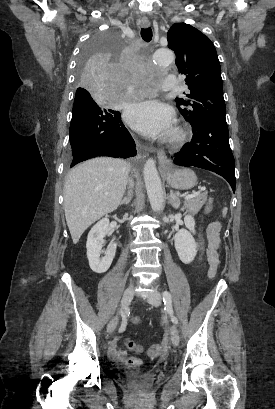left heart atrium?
<instances>
[{
    "instance_id": "left-heart-atrium-1",
    "label": "left heart atrium",
    "mask_w": 275,
    "mask_h": 409,
    "mask_svg": "<svg viewBox=\"0 0 275 409\" xmlns=\"http://www.w3.org/2000/svg\"><path fill=\"white\" fill-rule=\"evenodd\" d=\"M127 122L146 136H160L172 129L173 111L155 100L130 104L125 112Z\"/></svg>"
}]
</instances>
